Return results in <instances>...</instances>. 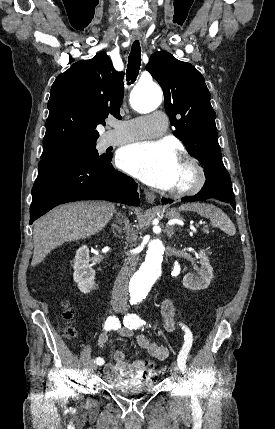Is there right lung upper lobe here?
Returning a JSON list of instances; mask_svg holds the SVG:
<instances>
[{
    "instance_id": "1",
    "label": "right lung upper lobe",
    "mask_w": 275,
    "mask_h": 429,
    "mask_svg": "<svg viewBox=\"0 0 275 429\" xmlns=\"http://www.w3.org/2000/svg\"><path fill=\"white\" fill-rule=\"evenodd\" d=\"M124 73L117 72L105 52L74 63L57 76L48 101L49 116L41 157L72 146L96 143L98 124L109 114L120 118Z\"/></svg>"
}]
</instances>
